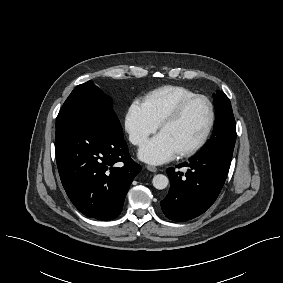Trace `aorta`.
Instances as JSON below:
<instances>
[{"label":"aorta","instance_id":"762f6f07","mask_svg":"<svg viewBox=\"0 0 283 283\" xmlns=\"http://www.w3.org/2000/svg\"><path fill=\"white\" fill-rule=\"evenodd\" d=\"M168 183H169L168 177H166L163 174L155 175L152 179L153 186L158 190L165 189L168 186Z\"/></svg>","mask_w":283,"mask_h":283}]
</instances>
